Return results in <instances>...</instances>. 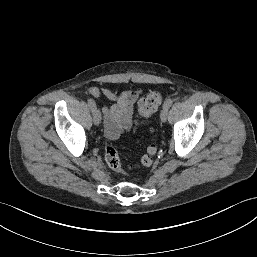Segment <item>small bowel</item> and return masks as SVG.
Returning <instances> with one entry per match:
<instances>
[{"instance_id": "1", "label": "small bowel", "mask_w": 257, "mask_h": 257, "mask_svg": "<svg viewBox=\"0 0 257 257\" xmlns=\"http://www.w3.org/2000/svg\"><path fill=\"white\" fill-rule=\"evenodd\" d=\"M86 92L97 98L104 97L116 101L115 104L103 108L105 134L108 138L116 139L123 130L136 129L138 122L134 119V107L142 90L117 93L107 88L90 86Z\"/></svg>"}]
</instances>
